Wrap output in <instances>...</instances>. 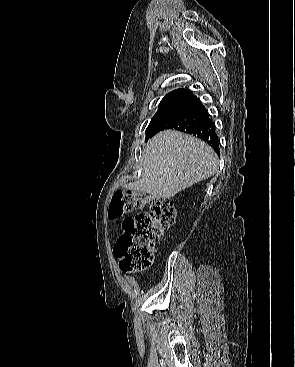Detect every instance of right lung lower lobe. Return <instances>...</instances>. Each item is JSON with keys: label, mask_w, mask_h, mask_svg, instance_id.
<instances>
[{"label": "right lung lower lobe", "mask_w": 295, "mask_h": 367, "mask_svg": "<svg viewBox=\"0 0 295 367\" xmlns=\"http://www.w3.org/2000/svg\"><path fill=\"white\" fill-rule=\"evenodd\" d=\"M165 129H175L197 136L207 142L218 155L220 154L214 124L210 121L208 112L201 101L194 95H191L165 119L151 136L146 137V140Z\"/></svg>", "instance_id": "98d812e1"}]
</instances>
